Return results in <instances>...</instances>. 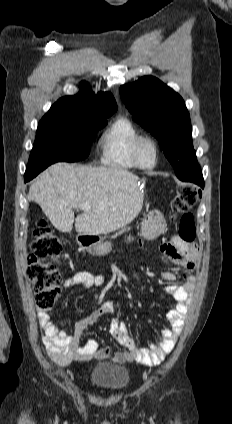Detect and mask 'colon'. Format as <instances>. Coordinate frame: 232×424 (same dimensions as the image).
Here are the masks:
<instances>
[{"label": "colon", "instance_id": "colon-1", "mask_svg": "<svg viewBox=\"0 0 232 424\" xmlns=\"http://www.w3.org/2000/svg\"><path fill=\"white\" fill-rule=\"evenodd\" d=\"M200 198L199 190L181 185L172 199V218L182 214L178 235L183 241L192 242L196 238L194 216L189 210ZM34 234L26 275L33 284L36 306L41 310H49L55 306L59 296L61 277L55 263L62 256V243L44 221L38 223Z\"/></svg>", "mask_w": 232, "mask_h": 424}]
</instances>
